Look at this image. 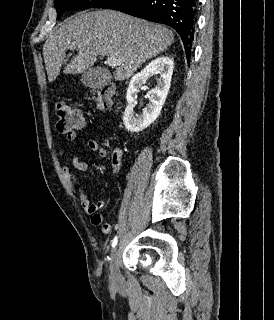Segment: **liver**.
I'll return each instance as SVG.
<instances>
[{
    "instance_id": "liver-1",
    "label": "liver",
    "mask_w": 274,
    "mask_h": 320,
    "mask_svg": "<svg viewBox=\"0 0 274 320\" xmlns=\"http://www.w3.org/2000/svg\"><path fill=\"white\" fill-rule=\"evenodd\" d=\"M171 30L162 24L146 22L115 10L79 12L64 20L43 46L49 82H54L66 62L67 50H76L64 74L91 70L98 56L117 58L114 80H129L147 60L156 58L173 44Z\"/></svg>"
}]
</instances>
